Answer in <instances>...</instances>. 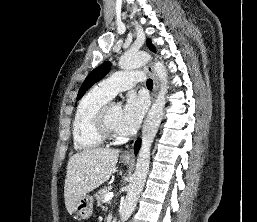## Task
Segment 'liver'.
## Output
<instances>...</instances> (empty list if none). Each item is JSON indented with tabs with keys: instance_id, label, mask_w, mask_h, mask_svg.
<instances>
[{
	"instance_id": "obj_1",
	"label": "liver",
	"mask_w": 257,
	"mask_h": 222,
	"mask_svg": "<svg viewBox=\"0 0 257 222\" xmlns=\"http://www.w3.org/2000/svg\"><path fill=\"white\" fill-rule=\"evenodd\" d=\"M119 151L94 148L70 157L64 184L65 206L69 214L74 212L77 200L105 183L114 172Z\"/></svg>"
}]
</instances>
